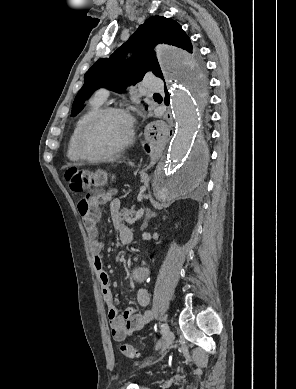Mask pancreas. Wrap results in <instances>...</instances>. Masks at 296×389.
I'll use <instances>...</instances> for the list:
<instances>
[{"instance_id": "1", "label": "pancreas", "mask_w": 296, "mask_h": 389, "mask_svg": "<svg viewBox=\"0 0 296 389\" xmlns=\"http://www.w3.org/2000/svg\"><path fill=\"white\" fill-rule=\"evenodd\" d=\"M135 210L132 208V209H127V208H123L121 210V214H120V221H125L127 222L129 225H132L135 223V218L134 215H135Z\"/></svg>"}]
</instances>
